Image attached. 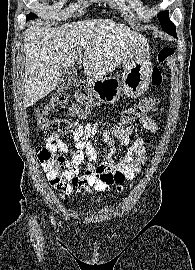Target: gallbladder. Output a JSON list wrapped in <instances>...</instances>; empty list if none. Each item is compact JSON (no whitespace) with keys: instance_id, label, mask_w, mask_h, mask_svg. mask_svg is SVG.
<instances>
[{"instance_id":"1","label":"gallbladder","mask_w":195,"mask_h":270,"mask_svg":"<svg viewBox=\"0 0 195 270\" xmlns=\"http://www.w3.org/2000/svg\"><path fill=\"white\" fill-rule=\"evenodd\" d=\"M77 70L74 66L62 68L59 70L58 89L68 90L73 87L77 79Z\"/></svg>"}]
</instances>
